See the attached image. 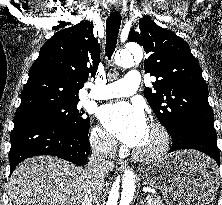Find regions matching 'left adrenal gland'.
Masks as SVG:
<instances>
[{
    "label": "left adrenal gland",
    "instance_id": "a2214340",
    "mask_svg": "<svg viewBox=\"0 0 222 205\" xmlns=\"http://www.w3.org/2000/svg\"><path fill=\"white\" fill-rule=\"evenodd\" d=\"M137 205H144V201L140 200L139 204H137Z\"/></svg>",
    "mask_w": 222,
    "mask_h": 205
}]
</instances>
